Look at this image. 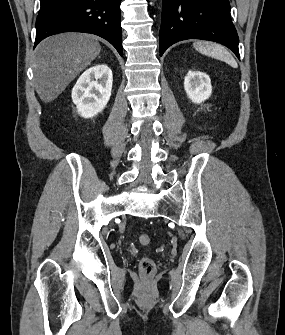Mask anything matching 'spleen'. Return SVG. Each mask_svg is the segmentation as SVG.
Masks as SVG:
<instances>
[{"instance_id":"spleen-1","label":"spleen","mask_w":285,"mask_h":335,"mask_svg":"<svg viewBox=\"0 0 285 335\" xmlns=\"http://www.w3.org/2000/svg\"><path fill=\"white\" fill-rule=\"evenodd\" d=\"M196 50L205 54V56H211V58H216V60H222L226 62L232 68H238L237 62L232 58L231 54L223 48V46H218V44H212V42H198L195 44Z\"/></svg>"}]
</instances>
